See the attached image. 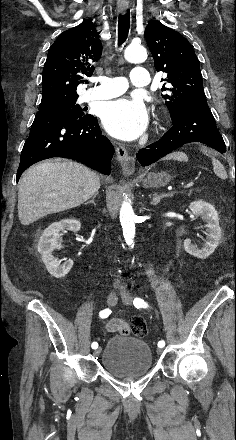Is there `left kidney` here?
<instances>
[{
    "label": "left kidney",
    "instance_id": "left-kidney-1",
    "mask_svg": "<svg viewBox=\"0 0 236 440\" xmlns=\"http://www.w3.org/2000/svg\"><path fill=\"white\" fill-rule=\"evenodd\" d=\"M190 210L196 217H201L206 224V241L201 249H198L196 245L191 243L190 239L184 240V249L190 255L206 259L217 248L222 235V230L219 226V217L215 208L210 204L202 200L194 201L189 205Z\"/></svg>",
    "mask_w": 236,
    "mask_h": 440
}]
</instances>
